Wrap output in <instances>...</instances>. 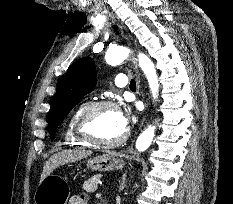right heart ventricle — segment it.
<instances>
[{
	"instance_id": "right-heart-ventricle-1",
	"label": "right heart ventricle",
	"mask_w": 233,
	"mask_h": 204,
	"mask_svg": "<svg viewBox=\"0 0 233 204\" xmlns=\"http://www.w3.org/2000/svg\"><path fill=\"white\" fill-rule=\"evenodd\" d=\"M84 105H80L73 113L69 116L66 127H65V132H64V139L67 145L69 146H88L87 143L82 141L77 137L75 134V122L77 119L78 114L81 112L83 109Z\"/></svg>"
}]
</instances>
